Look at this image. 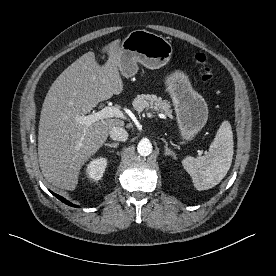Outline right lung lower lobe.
<instances>
[{
	"label": "right lung lower lobe",
	"mask_w": 276,
	"mask_h": 276,
	"mask_svg": "<svg viewBox=\"0 0 276 276\" xmlns=\"http://www.w3.org/2000/svg\"><path fill=\"white\" fill-rule=\"evenodd\" d=\"M55 197H57L60 201L64 202L65 204L69 205V206H73V207H78L77 205H74L72 203H70L69 201H67L66 199H64L63 197L51 192Z\"/></svg>",
	"instance_id": "obj_1"
}]
</instances>
